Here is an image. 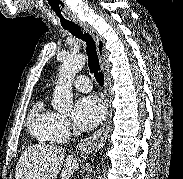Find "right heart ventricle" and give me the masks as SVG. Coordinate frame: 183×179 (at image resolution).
Returning <instances> with one entry per match:
<instances>
[{
	"label": "right heart ventricle",
	"mask_w": 183,
	"mask_h": 179,
	"mask_svg": "<svg viewBox=\"0 0 183 179\" xmlns=\"http://www.w3.org/2000/svg\"><path fill=\"white\" fill-rule=\"evenodd\" d=\"M55 115L56 113L46 106L43 99L37 101L33 106L28 117V128L40 142L53 140L51 127Z\"/></svg>",
	"instance_id": "e07e8e85"
}]
</instances>
